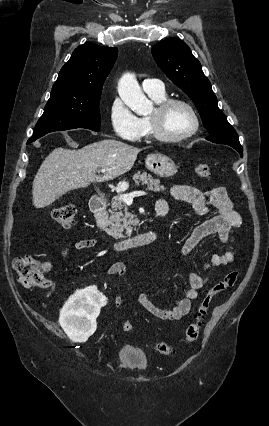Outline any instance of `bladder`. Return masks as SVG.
Returning a JSON list of instances; mask_svg holds the SVG:
<instances>
[{"label": "bladder", "instance_id": "obj_1", "mask_svg": "<svg viewBox=\"0 0 269 426\" xmlns=\"http://www.w3.org/2000/svg\"><path fill=\"white\" fill-rule=\"evenodd\" d=\"M118 358L125 366L135 369H144L148 363L145 352L131 344H124L120 347Z\"/></svg>", "mask_w": 269, "mask_h": 426}]
</instances>
